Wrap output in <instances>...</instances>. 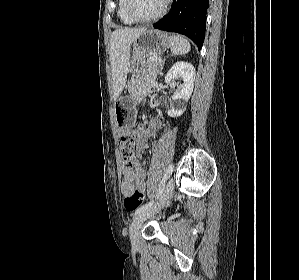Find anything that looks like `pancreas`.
<instances>
[{"instance_id":"1","label":"pancreas","mask_w":299,"mask_h":280,"mask_svg":"<svg viewBox=\"0 0 299 280\" xmlns=\"http://www.w3.org/2000/svg\"><path fill=\"white\" fill-rule=\"evenodd\" d=\"M161 63L159 61L147 60L144 64L142 76L134 81H131L129 90L133 92L135 89L138 91L148 89L156 80L158 72L161 70Z\"/></svg>"}]
</instances>
